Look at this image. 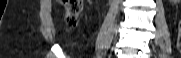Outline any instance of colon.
Here are the masks:
<instances>
[{"label":"colon","mask_w":181,"mask_h":58,"mask_svg":"<svg viewBox=\"0 0 181 58\" xmlns=\"http://www.w3.org/2000/svg\"><path fill=\"white\" fill-rule=\"evenodd\" d=\"M60 4L64 9V18L69 27L77 25L82 10V0H61ZM177 46L181 52V21L178 28Z\"/></svg>","instance_id":"1"}]
</instances>
